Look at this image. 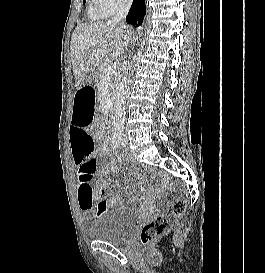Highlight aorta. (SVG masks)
I'll return each mask as SVG.
<instances>
[{"label": "aorta", "mask_w": 265, "mask_h": 273, "mask_svg": "<svg viewBox=\"0 0 265 273\" xmlns=\"http://www.w3.org/2000/svg\"><path fill=\"white\" fill-rule=\"evenodd\" d=\"M138 36L140 37L142 34V27L137 29ZM130 80L124 78L119 84L118 88L112 95L114 98V122L116 125L121 126L125 120V97L129 93Z\"/></svg>", "instance_id": "762f6f07"}]
</instances>
